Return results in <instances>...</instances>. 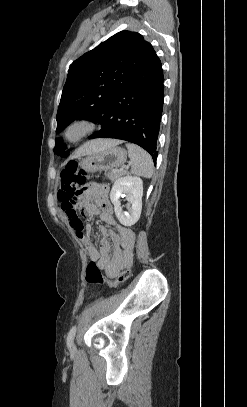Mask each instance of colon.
Returning <instances> with one entry per match:
<instances>
[{
  "label": "colon",
  "instance_id": "1",
  "mask_svg": "<svg viewBox=\"0 0 247 407\" xmlns=\"http://www.w3.org/2000/svg\"><path fill=\"white\" fill-rule=\"evenodd\" d=\"M85 182V172L78 168L77 162L70 161L60 175V189L58 191L59 200L61 202L77 203L82 194ZM130 276L131 267H128L114 281L106 280L98 264L94 261H90L86 266L85 280L91 285L116 287L125 282Z\"/></svg>",
  "mask_w": 247,
  "mask_h": 407
}]
</instances>
